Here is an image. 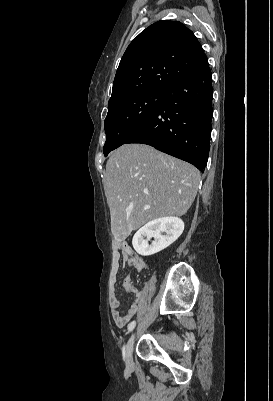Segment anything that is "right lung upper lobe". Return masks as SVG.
I'll return each instance as SVG.
<instances>
[{"label":"right lung upper lobe","instance_id":"right-lung-upper-lobe-1","mask_svg":"<svg viewBox=\"0 0 273 401\" xmlns=\"http://www.w3.org/2000/svg\"><path fill=\"white\" fill-rule=\"evenodd\" d=\"M207 64L201 44L191 30L178 21H158L126 49L108 104L142 91L165 92Z\"/></svg>","mask_w":273,"mask_h":401}]
</instances>
